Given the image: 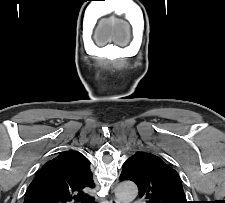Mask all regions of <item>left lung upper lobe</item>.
I'll return each mask as SVG.
<instances>
[{
	"mask_svg": "<svg viewBox=\"0 0 225 203\" xmlns=\"http://www.w3.org/2000/svg\"><path fill=\"white\" fill-rule=\"evenodd\" d=\"M120 179L133 181L146 203H188L178 173L151 153L132 155L123 164Z\"/></svg>",
	"mask_w": 225,
	"mask_h": 203,
	"instance_id": "left-lung-upper-lobe-1",
	"label": "left lung upper lobe"
}]
</instances>
